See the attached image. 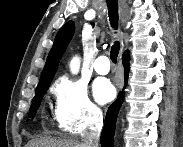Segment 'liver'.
I'll return each instance as SVG.
<instances>
[{
	"label": "liver",
	"instance_id": "6515ba94",
	"mask_svg": "<svg viewBox=\"0 0 183 147\" xmlns=\"http://www.w3.org/2000/svg\"><path fill=\"white\" fill-rule=\"evenodd\" d=\"M27 147H86L83 142L72 139H54L43 137L27 144Z\"/></svg>",
	"mask_w": 183,
	"mask_h": 147
}]
</instances>
